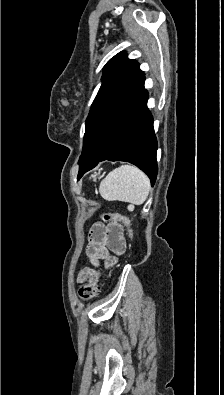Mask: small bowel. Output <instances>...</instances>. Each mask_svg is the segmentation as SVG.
<instances>
[{
    "label": "small bowel",
    "mask_w": 224,
    "mask_h": 395,
    "mask_svg": "<svg viewBox=\"0 0 224 395\" xmlns=\"http://www.w3.org/2000/svg\"><path fill=\"white\" fill-rule=\"evenodd\" d=\"M126 243L122 235L121 226L117 233H114L110 227L104 224L95 223L90 232L89 243L86 248V254L89 262L94 266H99L101 261H107L109 264L114 263V258L109 256L108 250L115 253L124 252ZM88 275V269L85 268L80 271L78 275V282H84Z\"/></svg>",
    "instance_id": "c3829d8e"
}]
</instances>
